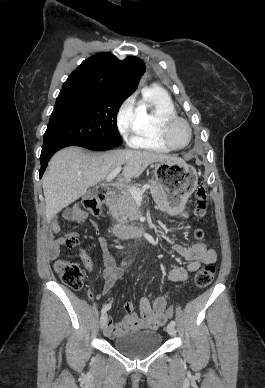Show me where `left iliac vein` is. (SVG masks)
I'll return each mask as SVG.
<instances>
[{
  "label": "left iliac vein",
  "mask_w": 265,
  "mask_h": 388,
  "mask_svg": "<svg viewBox=\"0 0 265 388\" xmlns=\"http://www.w3.org/2000/svg\"><path fill=\"white\" fill-rule=\"evenodd\" d=\"M166 329H167V332L169 335H171V336L176 335V330H175L174 326L169 324V325H167Z\"/></svg>",
  "instance_id": "4c4485c4"
}]
</instances>
